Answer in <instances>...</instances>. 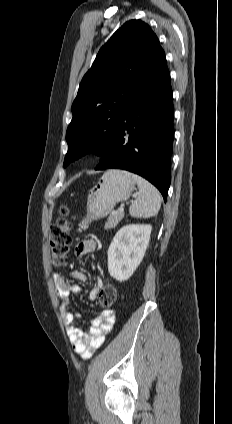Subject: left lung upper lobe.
Masks as SVG:
<instances>
[{
  "label": "left lung upper lobe",
  "mask_w": 232,
  "mask_h": 424,
  "mask_svg": "<svg viewBox=\"0 0 232 424\" xmlns=\"http://www.w3.org/2000/svg\"><path fill=\"white\" fill-rule=\"evenodd\" d=\"M165 53L151 28L126 22L98 52L72 104L64 166L92 150L101 156L127 105Z\"/></svg>",
  "instance_id": "obj_1"
}]
</instances>
